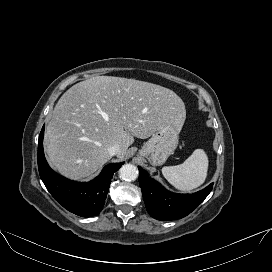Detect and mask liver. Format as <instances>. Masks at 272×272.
<instances>
[{"instance_id":"obj_1","label":"liver","mask_w":272,"mask_h":272,"mask_svg":"<svg viewBox=\"0 0 272 272\" xmlns=\"http://www.w3.org/2000/svg\"><path fill=\"white\" fill-rule=\"evenodd\" d=\"M186 110L172 90L149 82L96 76L69 88L58 100L45 132L50 165L72 180L96 173L120 146L122 159L134 137L146 139L172 122L180 130Z\"/></svg>"}]
</instances>
